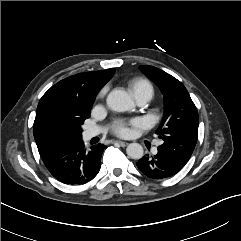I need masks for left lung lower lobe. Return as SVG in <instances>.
I'll return each instance as SVG.
<instances>
[{"mask_svg": "<svg viewBox=\"0 0 241 241\" xmlns=\"http://www.w3.org/2000/svg\"><path fill=\"white\" fill-rule=\"evenodd\" d=\"M136 165L143 174L152 179L171 177L183 168L179 163L160 151L154 156H143Z\"/></svg>", "mask_w": 241, "mask_h": 241, "instance_id": "left-lung-lower-lobe-1", "label": "left lung lower lobe"}]
</instances>
